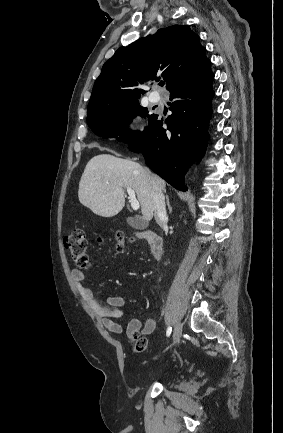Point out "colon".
Instances as JSON below:
<instances>
[{
	"instance_id": "5ec220e1",
	"label": "colon",
	"mask_w": 283,
	"mask_h": 433,
	"mask_svg": "<svg viewBox=\"0 0 283 433\" xmlns=\"http://www.w3.org/2000/svg\"><path fill=\"white\" fill-rule=\"evenodd\" d=\"M65 248L69 251L72 260L82 268H89L91 262L88 255V239L84 230L80 227H74L70 234L64 239ZM124 239L121 234L117 235V249L123 250ZM133 349L137 353H142L147 350L146 338L134 334L129 337Z\"/></svg>"
}]
</instances>
